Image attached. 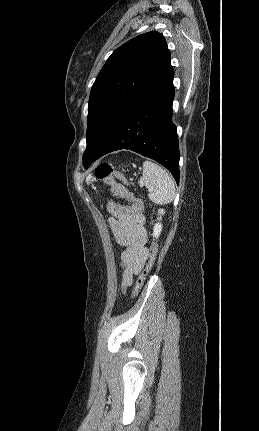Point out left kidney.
Returning a JSON list of instances; mask_svg holds the SVG:
<instances>
[{"instance_id":"5707ae66","label":"left kidney","mask_w":259,"mask_h":431,"mask_svg":"<svg viewBox=\"0 0 259 431\" xmlns=\"http://www.w3.org/2000/svg\"><path fill=\"white\" fill-rule=\"evenodd\" d=\"M165 211L163 209L158 210V214L160 215V218H157L159 221H161L162 217L161 215H164ZM162 231V224L160 222L156 223L153 228V236L155 238H158Z\"/></svg>"}]
</instances>
